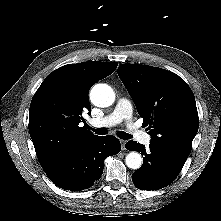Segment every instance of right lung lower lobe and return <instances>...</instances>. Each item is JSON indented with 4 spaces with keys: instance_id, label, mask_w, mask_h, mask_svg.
Instances as JSON below:
<instances>
[{
    "instance_id": "obj_1",
    "label": "right lung lower lobe",
    "mask_w": 221,
    "mask_h": 221,
    "mask_svg": "<svg viewBox=\"0 0 221 221\" xmlns=\"http://www.w3.org/2000/svg\"><path fill=\"white\" fill-rule=\"evenodd\" d=\"M120 150V141L115 136H97L45 172L49 179L62 189H88L101 177L104 159L119 153Z\"/></svg>"
}]
</instances>
